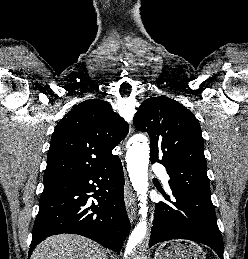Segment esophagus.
Instances as JSON below:
<instances>
[{
    "instance_id": "obj_1",
    "label": "esophagus",
    "mask_w": 248,
    "mask_h": 259,
    "mask_svg": "<svg viewBox=\"0 0 248 259\" xmlns=\"http://www.w3.org/2000/svg\"><path fill=\"white\" fill-rule=\"evenodd\" d=\"M132 132V127L130 125L129 128V134ZM131 186L129 183V180L127 178V176L125 177V185H124V201H125V206H126V211L129 217V220L131 222H134V220L136 219V210L135 207L131 201Z\"/></svg>"
}]
</instances>
